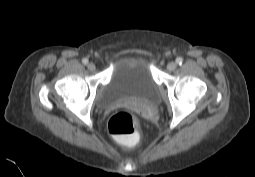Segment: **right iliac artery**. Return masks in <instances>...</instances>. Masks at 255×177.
I'll return each instance as SVG.
<instances>
[{
	"label": "right iliac artery",
	"instance_id": "1",
	"mask_svg": "<svg viewBox=\"0 0 255 177\" xmlns=\"http://www.w3.org/2000/svg\"><path fill=\"white\" fill-rule=\"evenodd\" d=\"M82 62H83V64H88V59L87 58H84L83 60H82Z\"/></svg>",
	"mask_w": 255,
	"mask_h": 177
}]
</instances>
